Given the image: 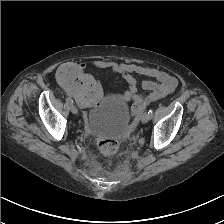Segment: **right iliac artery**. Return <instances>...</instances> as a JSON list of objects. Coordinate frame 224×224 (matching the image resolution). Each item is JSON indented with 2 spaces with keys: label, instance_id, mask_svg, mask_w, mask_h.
Returning a JSON list of instances; mask_svg holds the SVG:
<instances>
[{
  "label": "right iliac artery",
  "instance_id": "right-iliac-artery-1",
  "mask_svg": "<svg viewBox=\"0 0 224 224\" xmlns=\"http://www.w3.org/2000/svg\"><path fill=\"white\" fill-rule=\"evenodd\" d=\"M66 102H67L68 104H73V101H72V99H70V98H66Z\"/></svg>",
  "mask_w": 224,
  "mask_h": 224
}]
</instances>
